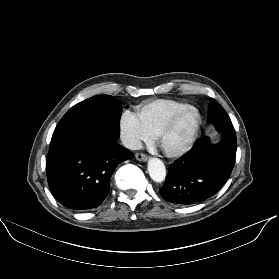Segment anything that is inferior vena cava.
<instances>
[{
	"instance_id": "obj_1",
	"label": "inferior vena cava",
	"mask_w": 279,
	"mask_h": 279,
	"mask_svg": "<svg viewBox=\"0 0 279 279\" xmlns=\"http://www.w3.org/2000/svg\"><path fill=\"white\" fill-rule=\"evenodd\" d=\"M121 140L123 145L130 150H139L142 148L141 141L135 137L123 135Z\"/></svg>"
}]
</instances>
